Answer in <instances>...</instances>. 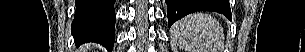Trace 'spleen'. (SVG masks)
Wrapping results in <instances>:
<instances>
[{
    "instance_id": "spleen-1",
    "label": "spleen",
    "mask_w": 305,
    "mask_h": 52,
    "mask_svg": "<svg viewBox=\"0 0 305 52\" xmlns=\"http://www.w3.org/2000/svg\"><path fill=\"white\" fill-rule=\"evenodd\" d=\"M173 39L189 52H222L224 29L215 18L206 13H193L174 23Z\"/></svg>"
}]
</instances>
